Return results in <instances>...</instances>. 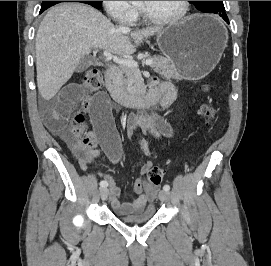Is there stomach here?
<instances>
[{
  "mask_svg": "<svg viewBox=\"0 0 271 266\" xmlns=\"http://www.w3.org/2000/svg\"><path fill=\"white\" fill-rule=\"evenodd\" d=\"M161 52L176 68L178 79L195 81L207 76L227 47L224 25L209 15H193L157 34Z\"/></svg>",
  "mask_w": 271,
  "mask_h": 266,
  "instance_id": "obj_1",
  "label": "stomach"
}]
</instances>
